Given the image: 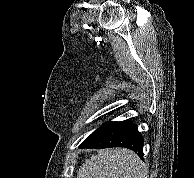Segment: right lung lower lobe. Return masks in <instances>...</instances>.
I'll return each mask as SVG.
<instances>
[{"label": "right lung lower lobe", "mask_w": 194, "mask_h": 178, "mask_svg": "<svg viewBox=\"0 0 194 178\" xmlns=\"http://www.w3.org/2000/svg\"><path fill=\"white\" fill-rule=\"evenodd\" d=\"M144 139L137 130V127L129 121L108 122L94 131L80 148H110L125 147L143 157Z\"/></svg>", "instance_id": "98d812e1"}]
</instances>
